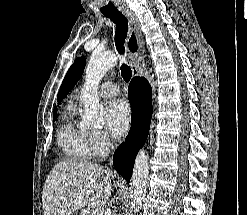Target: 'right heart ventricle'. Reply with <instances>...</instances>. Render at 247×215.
Segmentation results:
<instances>
[{
  "instance_id": "obj_1",
  "label": "right heart ventricle",
  "mask_w": 247,
  "mask_h": 215,
  "mask_svg": "<svg viewBox=\"0 0 247 215\" xmlns=\"http://www.w3.org/2000/svg\"><path fill=\"white\" fill-rule=\"evenodd\" d=\"M74 115L75 108L69 105L58 132V143L69 160L87 161L94 155L90 131L76 124Z\"/></svg>"
}]
</instances>
